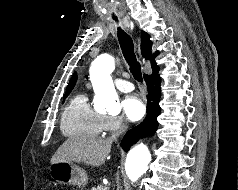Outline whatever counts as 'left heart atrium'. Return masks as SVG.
<instances>
[{"label":"left heart atrium","mask_w":238,"mask_h":190,"mask_svg":"<svg viewBox=\"0 0 238 190\" xmlns=\"http://www.w3.org/2000/svg\"><path fill=\"white\" fill-rule=\"evenodd\" d=\"M124 115L130 121H138L145 114V105L136 95L127 96L122 102Z\"/></svg>","instance_id":"obj_1"}]
</instances>
